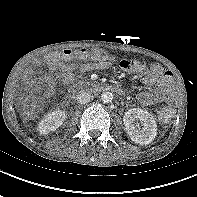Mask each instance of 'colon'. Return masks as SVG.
<instances>
[{
    "label": "colon",
    "instance_id": "1",
    "mask_svg": "<svg viewBox=\"0 0 197 197\" xmlns=\"http://www.w3.org/2000/svg\"><path fill=\"white\" fill-rule=\"evenodd\" d=\"M76 57L82 60H92V61H99L103 62L106 61L109 58V55L104 50H87V49H81L75 53ZM74 58V54L70 50H64L61 54L54 53L50 55V59L53 61L58 60H65L69 61ZM121 66L123 68L130 67L129 60H123L121 62ZM173 116V111L170 107H162L159 112V119L163 122L169 121Z\"/></svg>",
    "mask_w": 197,
    "mask_h": 197
}]
</instances>
